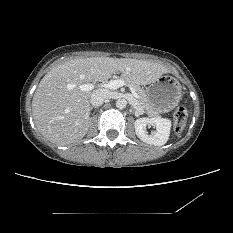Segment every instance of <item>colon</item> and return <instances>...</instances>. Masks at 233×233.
Instances as JSON below:
<instances>
[{
  "label": "colon",
  "mask_w": 233,
  "mask_h": 233,
  "mask_svg": "<svg viewBox=\"0 0 233 233\" xmlns=\"http://www.w3.org/2000/svg\"><path fill=\"white\" fill-rule=\"evenodd\" d=\"M187 119V109L184 106H178L174 112V129L179 132L185 127Z\"/></svg>",
  "instance_id": "5ec220e1"
}]
</instances>
